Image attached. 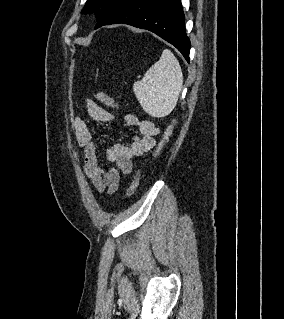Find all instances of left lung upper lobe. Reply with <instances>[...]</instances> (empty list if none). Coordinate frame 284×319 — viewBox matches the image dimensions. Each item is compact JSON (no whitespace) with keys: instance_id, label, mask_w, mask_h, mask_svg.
Returning <instances> with one entry per match:
<instances>
[{"instance_id":"obj_1","label":"left lung upper lobe","mask_w":284,"mask_h":319,"mask_svg":"<svg viewBox=\"0 0 284 319\" xmlns=\"http://www.w3.org/2000/svg\"><path fill=\"white\" fill-rule=\"evenodd\" d=\"M125 0H87L81 13H95L97 24L95 29L103 26L119 9Z\"/></svg>"}]
</instances>
